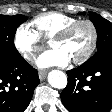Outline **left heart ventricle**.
Returning a JSON list of instances; mask_svg holds the SVG:
<instances>
[{
  "instance_id": "left-heart-ventricle-1",
  "label": "left heart ventricle",
  "mask_w": 112,
  "mask_h": 112,
  "mask_svg": "<svg viewBox=\"0 0 112 112\" xmlns=\"http://www.w3.org/2000/svg\"><path fill=\"white\" fill-rule=\"evenodd\" d=\"M91 40V31L85 24L77 26L70 35L63 40H53L50 46L64 52L70 60L76 59L84 54Z\"/></svg>"
}]
</instances>
